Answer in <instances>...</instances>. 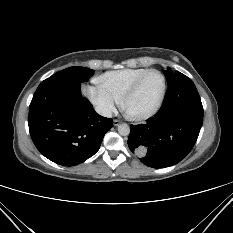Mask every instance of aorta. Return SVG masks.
Instances as JSON below:
<instances>
[{
    "label": "aorta",
    "mask_w": 233,
    "mask_h": 233,
    "mask_svg": "<svg viewBox=\"0 0 233 233\" xmlns=\"http://www.w3.org/2000/svg\"><path fill=\"white\" fill-rule=\"evenodd\" d=\"M118 132L122 136H127L130 134V127L127 124H121L118 126Z\"/></svg>",
    "instance_id": "aorta-1"
}]
</instances>
